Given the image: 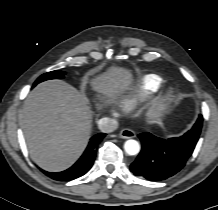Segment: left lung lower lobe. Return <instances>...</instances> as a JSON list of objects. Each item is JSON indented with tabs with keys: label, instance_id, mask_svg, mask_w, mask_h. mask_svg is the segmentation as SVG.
Masks as SVG:
<instances>
[{
	"label": "left lung lower lobe",
	"instance_id": "obj_1",
	"mask_svg": "<svg viewBox=\"0 0 218 210\" xmlns=\"http://www.w3.org/2000/svg\"><path fill=\"white\" fill-rule=\"evenodd\" d=\"M201 128L191 129L181 137L162 139L150 133L138 135L142 150L130 165L136 176L160 181L179 172L192 155Z\"/></svg>",
	"mask_w": 218,
	"mask_h": 210
}]
</instances>
